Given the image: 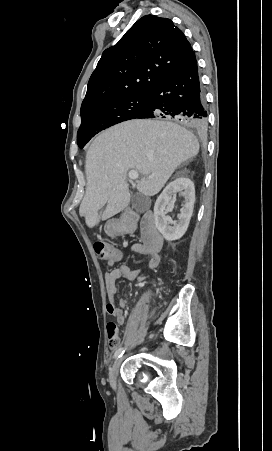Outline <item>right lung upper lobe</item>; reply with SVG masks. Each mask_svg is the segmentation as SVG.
Wrapping results in <instances>:
<instances>
[{
    "label": "right lung upper lobe",
    "instance_id": "1",
    "mask_svg": "<svg viewBox=\"0 0 272 451\" xmlns=\"http://www.w3.org/2000/svg\"><path fill=\"white\" fill-rule=\"evenodd\" d=\"M193 53L170 19L142 17L103 52L89 79L81 112L111 99L149 94Z\"/></svg>",
    "mask_w": 272,
    "mask_h": 451
}]
</instances>
